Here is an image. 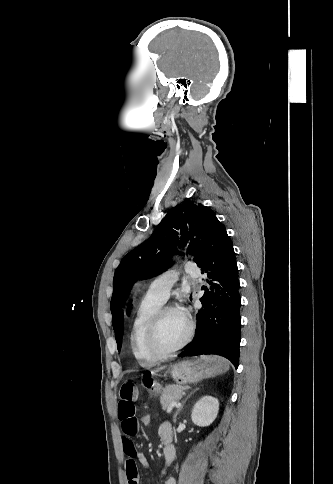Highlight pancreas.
I'll return each instance as SVG.
<instances>
[{"mask_svg":"<svg viewBox=\"0 0 333 484\" xmlns=\"http://www.w3.org/2000/svg\"><path fill=\"white\" fill-rule=\"evenodd\" d=\"M185 390L186 387L181 385H168L163 389L160 398L162 409L166 410L171 408L174 403H177L185 395Z\"/></svg>","mask_w":333,"mask_h":484,"instance_id":"cf45deb5","label":"pancreas"}]
</instances>
